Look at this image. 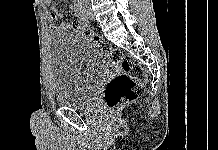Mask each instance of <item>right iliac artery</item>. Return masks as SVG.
<instances>
[{"label":"right iliac artery","mask_w":218,"mask_h":150,"mask_svg":"<svg viewBox=\"0 0 218 150\" xmlns=\"http://www.w3.org/2000/svg\"><path fill=\"white\" fill-rule=\"evenodd\" d=\"M78 16L80 17V19H82L83 21L87 20V16L84 14V11L82 9V6L79 7L78 9Z\"/></svg>","instance_id":"1"}]
</instances>
